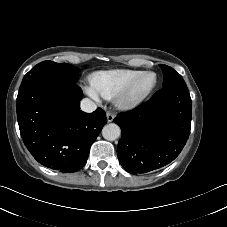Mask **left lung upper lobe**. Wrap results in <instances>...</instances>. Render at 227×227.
Listing matches in <instances>:
<instances>
[{"instance_id":"obj_1","label":"left lung upper lobe","mask_w":227,"mask_h":227,"mask_svg":"<svg viewBox=\"0 0 227 227\" xmlns=\"http://www.w3.org/2000/svg\"><path fill=\"white\" fill-rule=\"evenodd\" d=\"M163 71V87L166 86H174V85H179V86H184L186 85L185 81L183 78L178 74L173 68L160 64L159 65Z\"/></svg>"}]
</instances>
